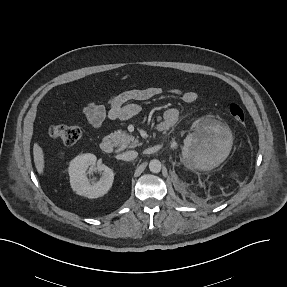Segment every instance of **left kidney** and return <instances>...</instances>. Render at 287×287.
Segmentation results:
<instances>
[{"label": "left kidney", "instance_id": "5707ae66", "mask_svg": "<svg viewBox=\"0 0 287 287\" xmlns=\"http://www.w3.org/2000/svg\"><path fill=\"white\" fill-rule=\"evenodd\" d=\"M232 144V134L228 128L219 124H204L202 134L186 137L182 156L189 166L209 170L226 159Z\"/></svg>", "mask_w": 287, "mask_h": 287}]
</instances>
